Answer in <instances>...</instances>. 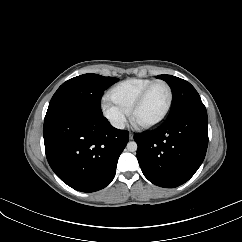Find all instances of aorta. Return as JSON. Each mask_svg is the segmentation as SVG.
Returning <instances> with one entry per match:
<instances>
[{
  "label": "aorta",
  "mask_w": 242,
  "mask_h": 242,
  "mask_svg": "<svg viewBox=\"0 0 242 242\" xmlns=\"http://www.w3.org/2000/svg\"><path fill=\"white\" fill-rule=\"evenodd\" d=\"M138 148V145L135 141L128 142L127 150L130 152H135Z\"/></svg>",
  "instance_id": "obj_1"
}]
</instances>
